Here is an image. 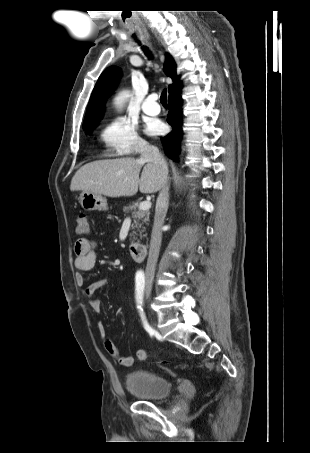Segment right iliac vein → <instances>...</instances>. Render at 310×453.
I'll return each instance as SVG.
<instances>
[{
    "mask_svg": "<svg viewBox=\"0 0 310 453\" xmlns=\"http://www.w3.org/2000/svg\"><path fill=\"white\" fill-rule=\"evenodd\" d=\"M145 293L146 295L149 297L151 295V286L148 285L146 288H145Z\"/></svg>",
    "mask_w": 310,
    "mask_h": 453,
    "instance_id": "1",
    "label": "right iliac vein"
}]
</instances>
